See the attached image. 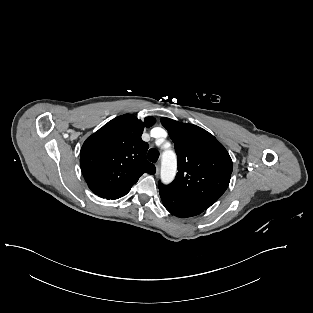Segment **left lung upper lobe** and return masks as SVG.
Wrapping results in <instances>:
<instances>
[{
  "instance_id": "5c2ea615",
  "label": "left lung upper lobe",
  "mask_w": 313,
  "mask_h": 313,
  "mask_svg": "<svg viewBox=\"0 0 313 313\" xmlns=\"http://www.w3.org/2000/svg\"><path fill=\"white\" fill-rule=\"evenodd\" d=\"M178 158L175 180L159 189L191 205L207 209L227 189L233 170L229 153L206 130L162 117Z\"/></svg>"
}]
</instances>
